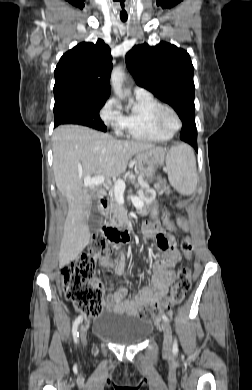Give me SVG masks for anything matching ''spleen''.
Listing matches in <instances>:
<instances>
[{
    "mask_svg": "<svg viewBox=\"0 0 252 390\" xmlns=\"http://www.w3.org/2000/svg\"><path fill=\"white\" fill-rule=\"evenodd\" d=\"M166 167L174 189L183 195L194 193L197 185L196 159L188 146H173L166 156Z\"/></svg>",
    "mask_w": 252,
    "mask_h": 390,
    "instance_id": "obj_1",
    "label": "spleen"
}]
</instances>
